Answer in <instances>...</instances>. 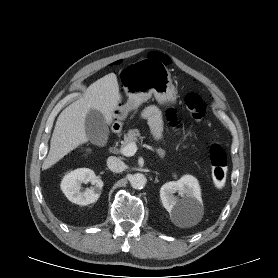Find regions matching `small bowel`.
Listing matches in <instances>:
<instances>
[{
	"instance_id": "1",
	"label": "small bowel",
	"mask_w": 278,
	"mask_h": 278,
	"mask_svg": "<svg viewBox=\"0 0 278 278\" xmlns=\"http://www.w3.org/2000/svg\"><path fill=\"white\" fill-rule=\"evenodd\" d=\"M142 117L148 121L153 135L159 138L162 131V119L159 109L155 106H149L143 110ZM168 117L173 120L172 110H168Z\"/></svg>"
}]
</instances>
